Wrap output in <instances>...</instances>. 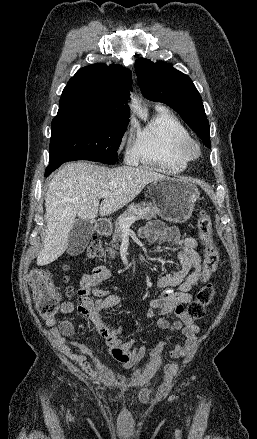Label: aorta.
Masks as SVG:
<instances>
[{"mask_svg": "<svg viewBox=\"0 0 257 439\" xmlns=\"http://www.w3.org/2000/svg\"><path fill=\"white\" fill-rule=\"evenodd\" d=\"M131 109L141 118H145L147 116V111L140 106L139 102L136 99L133 100L131 104Z\"/></svg>", "mask_w": 257, "mask_h": 439, "instance_id": "aorta-1", "label": "aorta"}]
</instances>
